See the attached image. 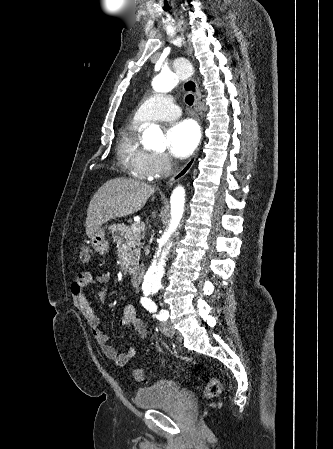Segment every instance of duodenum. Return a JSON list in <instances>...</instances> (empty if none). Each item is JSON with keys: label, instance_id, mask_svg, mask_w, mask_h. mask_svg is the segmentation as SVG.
Listing matches in <instances>:
<instances>
[{"label": "duodenum", "instance_id": "duodenum-1", "mask_svg": "<svg viewBox=\"0 0 333 449\" xmlns=\"http://www.w3.org/2000/svg\"><path fill=\"white\" fill-rule=\"evenodd\" d=\"M143 271L140 267H134L130 270L131 284L135 288L141 285Z\"/></svg>", "mask_w": 333, "mask_h": 449}]
</instances>
